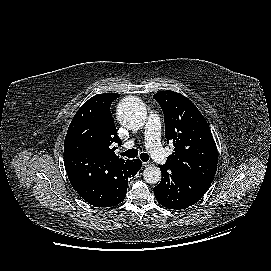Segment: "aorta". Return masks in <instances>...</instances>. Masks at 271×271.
<instances>
[{
  "instance_id": "aorta-1",
  "label": "aorta",
  "mask_w": 271,
  "mask_h": 271,
  "mask_svg": "<svg viewBox=\"0 0 271 271\" xmlns=\"http://www.w3.org/2000/svg\"><path fill=\"white\" fill-rule=\"evenodd\" d=\"M117 119L125 128L139 130L145 124V106L134 96L125 97L117 107ZM143 178L147 183L155 184L161 179V170L156 166H148L143 171Z\"/></svg>"
}]
</instances>
